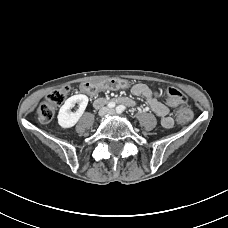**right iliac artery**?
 <instances>
[{"instance_id": "right-iliac-artery-1", "label": "right iliac artery", "mask_w": 228, "mask_h": 228, "mask_svg": "<svg viewBox=\"0 0 228 228\" xmlns=\"http://www.w3.org/2000/svg\"><path fill=\"white\" fill-rule=\"evenodd\" d=\"M115 105H116V104H115V102H113V101H111V102L108 103V107H109V108H114Z\"/></svg>"}]
</instances>
